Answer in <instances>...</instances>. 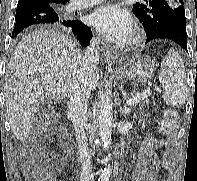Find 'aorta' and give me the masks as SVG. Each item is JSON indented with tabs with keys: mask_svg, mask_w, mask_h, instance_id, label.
Here are the masks:
<instances>
[{
	"mask_svg": "<svg viewBox=\"0 0 197 181\" xmlns=\"http://www.w3.org/2000/svg\"><path fill=\"white\" fill-rule=\"evenodd\" d=\"M111 91L105 89L100 95V114H99V131L102 143L105 149L111 145V126H112V105L110 99ZM111 166L106 165L98 181H109Z\"/></svg>",
	"mask_w": 197,
	"mask_h": 181,
	"instance_id": "obj_1",
	"label": "aorta"
}]
</instances>
